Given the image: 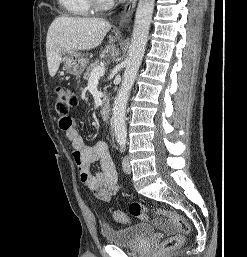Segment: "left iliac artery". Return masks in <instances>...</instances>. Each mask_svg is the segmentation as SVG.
<instances>
[{
	"instance_id": "44dca946",
	"label": "left iliac artery",
	"mask_w": 247,
	"mask_h": 257,
	"mask_svg": "<svg viewBox=\"0 0 247 257\" xmlns=\"http://www.w3.org/2000/svg\"><path fill=\"white\" fill-rule=\"evenodd\" d=\"M118 142H119V144L121 146V149L124 150L126 139L121 138V139L118 140Z\"/></svg>"
}]
</instances>
